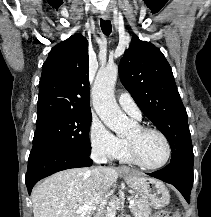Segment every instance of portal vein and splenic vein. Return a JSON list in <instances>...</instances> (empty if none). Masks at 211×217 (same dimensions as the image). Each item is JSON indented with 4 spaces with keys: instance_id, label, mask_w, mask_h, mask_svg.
I'll return each mask as SVG.
<instances>
[{
    "instance_id": "1",
    "label": "portal vein and splenic vein",
    "mask_w": 211,
    "mask_h": 217,
    "mask_svg": "<svg viewBox=\"0 0 211 217\" xmlns=\"http://www.w3.org/2000/svg\"><path fill=\"white\" fill-rule=\"evenodd\" d=\"M134 203H135L134 199H130L129 205H130V206H133ZM89 210H95V208H92V207H90V206H83V207L78 208L76 212H77V213H82V212H87V211H89Z\"/></svg>"
}]
</instances>
